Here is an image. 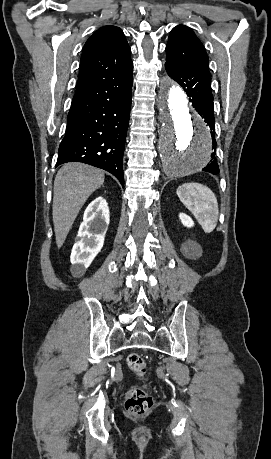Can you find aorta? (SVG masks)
Wrapping results in <instances>:
<instances>
[{"instance_id": "762f6f07", "label": "aorta", "mask_w": 271, "mask_h": 459, "mask_svg": "<svg viewBox=\"0 0 271 459\" xmlns=\"http://www.w3.org/2000/svg\"><path fill=\"white\" fill-rule=\"evenodd\" d=\"M162 122L159 153L168 176H184L202 169L210 160L211 138L207 128L191 115L185 92L163 79L159 93Z\"/></svg>"}]
</instances>
